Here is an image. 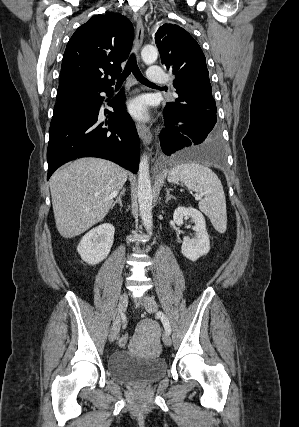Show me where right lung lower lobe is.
Segmentation results:
<instances>
[{"mask_svg":"<svg viewBox=\"0 0 299 427\" xmlns=\"http://www.w3.org/2000/svg\"><path fill=\"white\" fill-rule=\"evenodd\" d=\"M103 91L110 96L112 87L55 104L49 129L47 179L64 163L88 156L104 158L137 172L139 137L125 110L123 91L110 103L114 112L105 110L109 119L105 123L98 118Z\"/></svg>","mask_w":299,"mask_h":427,"instance_id":"obj_1","label":"right lung lower lobe"}]
</instances>
